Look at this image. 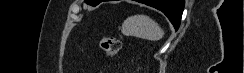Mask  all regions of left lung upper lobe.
<instances>
[{"label":"left lung upper lobe","mask_w":244,"mask_h":73,"mask_svg":"<svg viewBox=\"0 0 244 73\" xmlns=\"http://www.w3.org/2000/svg\"><path fill=\"white\" fill-rule=\"evenodd\" d=\"M102 0H85L90 5L96 6L98 5Z\"/></svg>","instance_id":"5c2ea615"}]
</instances>
